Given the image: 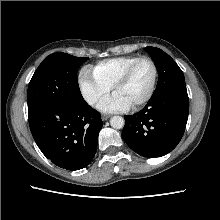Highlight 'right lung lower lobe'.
Returning <instances> with one entry per match:
<instances>
[{"mask_svg":"<svg viewBox=\"0 0 220 220\" xmlns=\"http://www.w3.org/2000/svg\"><path fill=\"white\" fill-rule=\"evenodd\" d=\"M33 138L55 165L67 170H79L93 159L101 115L86 102L78 107L47 105L28 112Z\"/></svg>","mask_w":220,"mask_h":220,"instance_id":"obj_1","label":"right lung lower lobe"}]
</instances>
